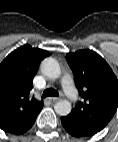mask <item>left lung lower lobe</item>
<instances>
[{"instance_id":"0a47b994","label":"left lung lower lobe","mask_w":118,"mask_h":142,"mask_svg":"<svg viewBox=\"0 0 118 142\" xmlns=\"http://www.w3.org/2000/svg\"><path fill=\"white\" fill-rule=\"evenodd\" d=\"M61 122L65 130L72 136L86 137L95 134L91 130H89L84 124L71 117L70 115L61 117Z\"/></svg>"}]
</instances>
